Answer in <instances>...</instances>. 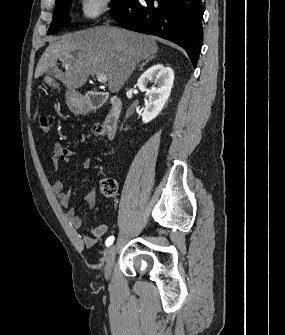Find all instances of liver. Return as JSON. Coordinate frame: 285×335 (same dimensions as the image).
Segmentation results:
<instances>
[{
	"instance_id": "6515ba94",
	"label": "liver",
	"mask_w": 285,
	"mask_h": 335,
	"mask_svg": "<svg viewBox=\"0 0 285 335\" xmlns=\"http://www.w3.org/2000/svg\"><path fill=\"white\" fill-rule=\"evenodd\" d=\"M55 40H49L37 64L35 78L52 70L68 90L82 88L90 76L105 74L110 92L117 94L139 62L159 50L153 36L112 26H97ZM57 60L65 68L62 78Z\"/></svg>"
}]
</instances>
